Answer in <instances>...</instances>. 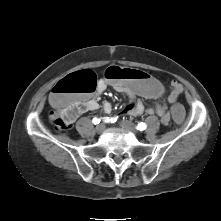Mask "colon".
<instances>
[{
    "instance_id": "obj_1",
    "label": "colon",
    "mask_w": 221,
    "mask_h": 221,
    "mask_svg": "<svg viewBox=\"0 0 221 221\" xmlns=\"http://www.w3.org/2000/svg\"><path fill=\"white\" fill-rule=\"evenodd\" d=\"M105 80L109 84H124L132 91L149 100L160 99L166 94V87L162 79L149 72L136 69H126L113 66L107 69ZM96 75L91 70H82L68 75L59 81L51 91L50 103L54 107L50 118L57 131L68 129L72 125L74 114L78 111L77 99L96 89ZM169 119L173 125H182L188 113L181 102H174L170 106Z\"/></svg>"
}]
</instances>
